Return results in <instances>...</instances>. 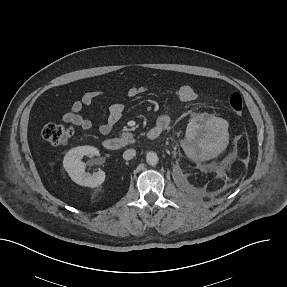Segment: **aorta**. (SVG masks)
Listing matches in <instances>:
<instances>
[{
  "label": "aorta",
  "instance_id": "1",
  "mask_svg": "<svg viewBox=\"0 0 287 287\" xmlns=\"http://www.w3.org/2000/svg\"><path fill=\"white\" fill-rule=\"evenodd\" d=\"M146 161L149 165H156L159 158L155 152H148L146 155Z\"/></svg>",
  "mask_w": 287,
  "mask_h": 287
}]
</instances>
